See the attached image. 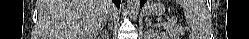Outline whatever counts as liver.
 <instances>
[{
  "label": "liver",
  "instance_id": "6515ba94",
  "mask_svg": "<svg viewBox=\"0 0 249 39\" xmlns=\"http://www.w3.org/2000/svg\"><path fill=\"white\" fill-rule=\"evenodd\" d=\"M112 8L111 0H39L41 39H93Z\"/></svg>",
  "mask_w": 249,
  "mask_h": 39
}]
</instances>
